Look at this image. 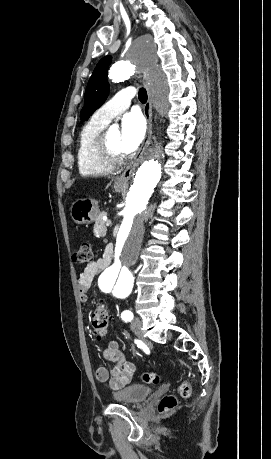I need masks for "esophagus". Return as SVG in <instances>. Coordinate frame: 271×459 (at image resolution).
<instances>
[{
	"label": "esophagus",
	"instance_id": "1",
	"mask_svg": "<svg viewBox=\"0 0 271 459\" xmlns=\"http://www.w3.org/2000/svg\"><path fill=\"white\" fill-rule=\"evenodd\" d=\"M154 62V58L152 59ZM142 67L138 68V71H142V82L147 90L148 99L143 107V114L147 121V131L144 137V140L139 148L138 152L135 154L133 160L129 163L126 167L124 172L115 179L114 185H127L129 179L131 178L133 172L135 171L136 167L143 159V155L145 153L146 148L150 144L151 136H152V90L149 80V71L147 68V62H142Z\"/></svg>",
	"mask_w": 271,
	"mask_h": 459
}]
</instances>
